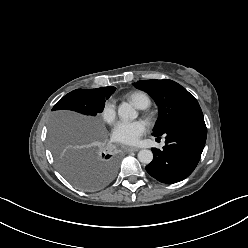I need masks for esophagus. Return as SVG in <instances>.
I'll use <instances>...</instances> for the list:
<instances>
[{
    "instance_id": "esophagus-1",
    "label": "esophagus",
    "mask_w": 248,
    "mask_h": 248,
    "mask_svg": "<svg viewBox=\"0 0 248 248\" xmlns=\"http://www.w3.org/2000/svg\"><path fill=\"white\" fill-rule=\"evenodd\" d=\"M139 149L135 147H125L126 152H137Z\"/></svg>"
}]
</instances>
